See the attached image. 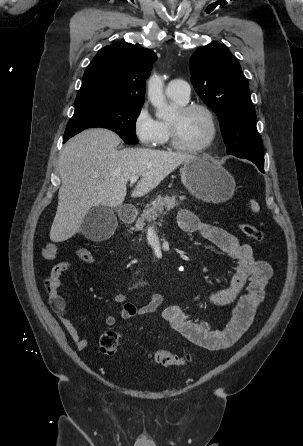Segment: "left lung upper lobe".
<instances>
[{"mask_svg":"<svg viewBox=\"0 0 303 446\" xmlns=\"http://www.w3.org/2000/svg\"><path fill=\"white\" fill-rule=\"evenodd\" d=\"M189 67L196 92L218 116L227 153L264 164L256 112L236 57L223 45H208L192 55Z\"/></svg>","mask_w":303,"mask_h":446,"instance_id":"obj_1","label":"left lung upper lobe"}]
</instances>
